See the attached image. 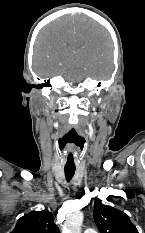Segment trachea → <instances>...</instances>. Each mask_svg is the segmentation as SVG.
<instances>
[{"label": "trachea", "instance_id": "trachea-1", "mask_svg": "<svg viewBox=\"0 0 145 233\" xmlns=\"http://www.w3.org/2000/svg\"><path fill=\"white\" fill-rule=\"evenodd\" d=\"M75 167H72V168H64V171H65V177H66V180L67 181H70L72 179V177L74 176V173H75Z\"/></svg>", "mask_w": 145, "mask_h": 233}]
</instances>
